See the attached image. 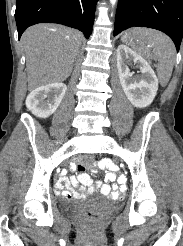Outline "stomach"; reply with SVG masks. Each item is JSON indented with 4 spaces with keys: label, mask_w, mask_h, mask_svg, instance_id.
<instances>
[{
    "label": "stomach",
    "mask_w": 183,
    "mask_h": 246,
    "mask_svg": "<svg viewBox=\"0 0 183 246\" xmlns=\"http://www.w3.org/2000/svg\"><path fill=\"white\" fill-rule=\"evenodd\" d=\"M136 29L131 30L128 33H125L122 37V40L129 42L130 44H135L137 42V36L135 35Z\"/></svg>",
    "instance_id": "obj_1"
}]
</instances>
